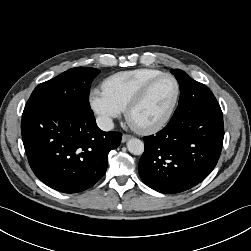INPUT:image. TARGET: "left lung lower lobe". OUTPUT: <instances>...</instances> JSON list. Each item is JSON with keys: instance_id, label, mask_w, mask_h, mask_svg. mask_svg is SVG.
Segmentation results:
<instances>
[{"instance_id": "0a47b994", "label": "left lung lower lobe", "mask_w": 251, "mask_h": 251, "mask_svg": "<svg viewBox=\"0 0 251 251\" xmlns=\"http://www.w3.org/2000/svg\"><path fill=\"white\" fill-rule=\"evenodd\" d=\"M224 138L221 108L204 84L180 93L170 122L156 135L144 137L139 175L161 193L186 191L216 166Z\"/></svg>"}]
</instances>
